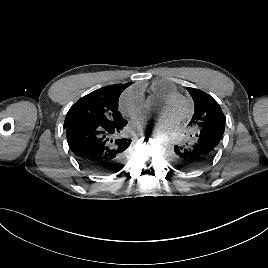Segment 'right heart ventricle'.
Returning a JSON list of instances; mask_svg holds the SVG:
<instances>
[{"label": "right heart ventricle", "mask_w": 268, "mask_h": 268, "mask_svg": "<svg viewBox=\"0 0 268 268\" xmlns=\"http://www.w3.org/2000/svg\"><path fill=\"white\" fill-rule=\"evenodd\" d=\"M150 89H151L153 94H155L159 97H164L166 95L173 94V93L177 92L176 86L168 81H165V80L154 81L151 84Z\"/></svg>", "instance_id": "obj_1"}]
</instances>
